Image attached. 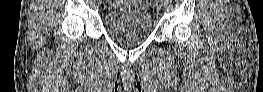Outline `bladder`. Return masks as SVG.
I'll return each mask as SVG.
<instances>
[{
    "mask_svg": "<svg viewBox=\"0 0 263 92\" xmlns=\"http://www.w3.org/2000/svg\"><path fill=\"white\" fill-rule=\"evenodd\" d=\"M125 6L108 10L104 27L108 35L123 45L144 41L152 32V17L144 1H124Z\"/></svg>",
    "mask_w": 263,
    "mask_h": 92,
    "instance_id": "31cf9c89",
    "label": "bladder"
}]
</instances>
